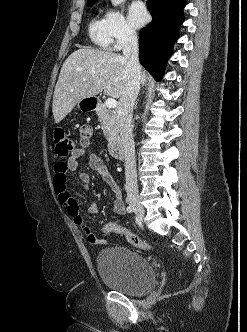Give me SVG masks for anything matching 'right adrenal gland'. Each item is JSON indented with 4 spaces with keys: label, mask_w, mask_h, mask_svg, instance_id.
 <instances>
[{
    "label": "right adrenal gland",
    "mask_w": 247,
    "mask_h": 332,
    "mask_svg": "<svg viewBox=\"0 0 247 332\" xmlns=\"http://www.w3.org/2000/svg\"><path fill=\"white\" fill-rule=\"evenodd\" d=\"M137 103H138V101H137L136 104H135V109L137 108Z\"/></svg>",
    "instance_id": "obj_1"
}]
</instances>
